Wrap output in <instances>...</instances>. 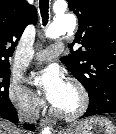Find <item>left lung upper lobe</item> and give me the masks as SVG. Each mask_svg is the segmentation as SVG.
Masks as SVG:
<instances>
[{"mask_svg": "<svg viewBox=\"0 0 116 134\" xmlns=\"http://www.w3.org/2000/svg\"><path fill=\"white\" fill-rule=\"evenodd\" d=\"M78 17L75 40L61 61L86 88L89 103L116 101V1L68 0ZM82 48L73 51V45Z\"/></svg>", "mask_w": 116, "mask_h": 134, "instance_id": "obj_1", "label": "left lung upper lobe"}]
</instances>
